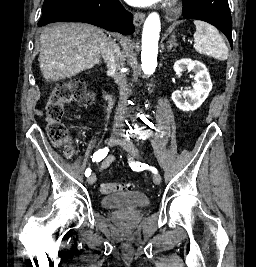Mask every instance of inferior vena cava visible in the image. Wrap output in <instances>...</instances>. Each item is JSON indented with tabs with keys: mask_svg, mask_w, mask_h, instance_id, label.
<instances>
[{
	"mask_svg": "<svg viewBox=\"0 0 256 267\" xmlns=\"http://www.w3.org/2000/svg\"><path fill=\"white\" fill-rule=\"evenodd\" d=\"M100 52L105 64H107L108 70L114 72V80L119 86L121 102L118 104L116 116H114V126L115 128H122L124 122L123 116L125 114L126 102L128 100L126 74L125 72H122L124 64L123 58L120 54L119 46H117L115 42H111V40H104L103 44L100 46Z\"/></svg>",
	"mask_w": 256,
	"mask_h": 267,
	"instance_id": "obj_1",
	"label": "inferior vena cava"
}]
</instances>
